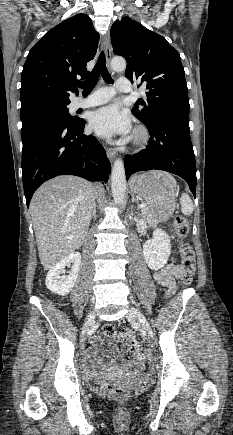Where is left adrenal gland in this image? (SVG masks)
I'll return each mask as SVG.
<instances>
[{
    "label": "left adrenal gland",
    "instance_id": "a2214340",
    "mask_svg": "<svg viewBox=\"0 0 233 435\" xmlns=\"http://www.w3.org/2000/svg\"><path fill=\"white\" fill-rule=\"evenodd\" d=\"M132 202L134 203H136L137 204V210H139L140 209V205H139V202H138V200L137 199H135V196H134V194H132Z\"/></svg>",
    "mask_w": 233,
    "mask_h": 435
}]
</instances>
